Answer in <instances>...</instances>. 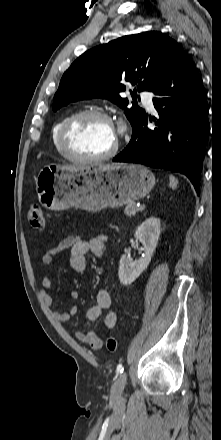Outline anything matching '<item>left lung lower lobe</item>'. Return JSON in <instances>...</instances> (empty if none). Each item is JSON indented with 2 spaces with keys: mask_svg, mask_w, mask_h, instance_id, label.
Here are the masks:
<instances>
[{
  "mask_svg": "<svg viewBox=\"0 0 221 440\" xmlns=\"http://www.w3.org/2000/svg\"><path fill=\"white\" fill-rule=\"evenodd\" d=\"M158 97L157 127L147 128V116L132 132L127 147L114 162L140 163L184 174L199 195L209 130L208 105L202 80L182 51L176 64L152 90Z\"/></svg>",
  "mask_w": 221,
  "mask_h": 440,
  "instance_id": "obj_1",
  "label": "left lung lower lobe"
}]
</instances>
